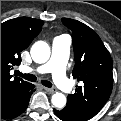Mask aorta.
<instances>
[{
	"instance_id": "762f6f07",
	"label": "aorta",
	"mask_w": 121,
	"mask_h": 121,
	"mask_svg": "<svg viewBox=\"0 0 121 121\" xmlns=\"http://www.w3.org/2000/svg\"><path fill=\"white\" fill-rule=\"evenodd\" d=\"M30 53L34 62L42 64L50 58V47L44 41H37L32 45ZM51 101L56 108H63L67 100L63 93L56 92L52 95Z\"/></svg>"
}]
</instances>
